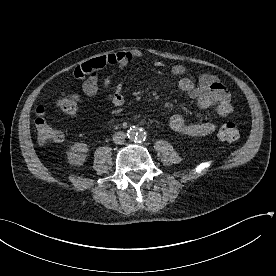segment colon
Here are the masks:
<instances>
[{
  "mask_svg": "<svg viewBox=\"0 0 276 276\" xmlns=\"http://www.w3.org/2000/svg\"><path fill=\"white\" fill-rule=\"evenodd\" d=\"M57 107L66 115H74L77 112V99L74 95L63 94L57 101ZM35 125L38 138L42 143L53 144L63 139L62 132L47 121L45 109L42 106H39L36 110ZM239 137V129L233 122L223 124L218 130V138L226 143H234Z\"/></svg>",
  "mask_w": 276,
  "mask_h": 276,
  "instance_id": "obj_1",
  "label": "colon"
}]
</instances>
